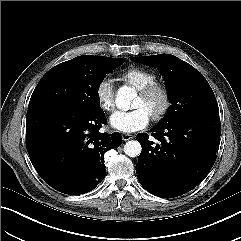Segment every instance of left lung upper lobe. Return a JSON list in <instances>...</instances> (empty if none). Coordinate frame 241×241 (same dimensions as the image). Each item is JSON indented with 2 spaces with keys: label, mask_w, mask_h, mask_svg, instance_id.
<instances>
[{
  "label": "left lung upper lobe",
  "mask_w": 241,
  "mask_h": 241,
  "mask_svg": "<svg viewBox=\"0 0 241 241\" xmlns=\"http://www.w3.org/2000/svg\"><path fill=\"white\" fill-rule=\"evenodd\" d=\"M146 65L160 67L168 88L169 107L159 126L188 117L219 118L215 95L205 77L190 64L171 54L130 57Z\"/></svg>",
  "instance_id": "left-lung-upper-lobe-1"
}]
</instances>
